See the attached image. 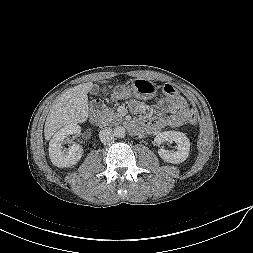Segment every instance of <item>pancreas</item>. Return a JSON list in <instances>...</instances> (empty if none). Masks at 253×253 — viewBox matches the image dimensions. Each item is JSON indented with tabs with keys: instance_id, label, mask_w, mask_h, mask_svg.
Returning <instances> with one entry per match:
<instances>
[{
	"instance_id": "obj_1",
	"label": "pancreas",
	"mask_w": 253,
	"mask_h": 253,
	"mask_svg": "<svg viewBox=\"0 0 253 253\" xmlns=\"http://www.w3.org/2000/svg\"><path fill=\"white\" fill-rule=\"evenodd\" d=\"M101 122L103 125L115 126L122 121V117L113 109L104 107L100 113Z\"/></svg>"
}]
</instances>
